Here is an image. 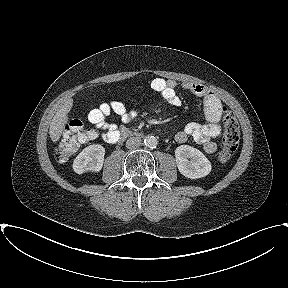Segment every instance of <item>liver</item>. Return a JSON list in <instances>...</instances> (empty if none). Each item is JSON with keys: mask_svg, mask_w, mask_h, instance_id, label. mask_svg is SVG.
<instances>
[{"mask_svg": "<svg viewBox=\"0 0 288 288\" xmlns=\"http://www.w3.org/2000/svg\"><path fill=\"white\" fill-rule=\"evenodd\" d=\"M72 105L73 100L68 99L53 117L49 128V135L53 142H57L60 139L64 127L68 122V113L70 112Z\"/></svg>", "mask_w": 288, "mask_h": 288, "instance_id": "1", "label": "liver"}]
</instances>
